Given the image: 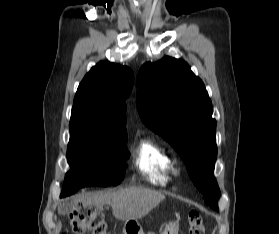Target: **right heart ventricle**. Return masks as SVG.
Returning a JSON list of instances; mask_svg holds the SVG:
<instances>
[{
	"mask_svg": "<svg viewBox=\"0 0 279 234\" xmlns=\"http://www.w3.org/2000/svg\"><path fill=\"white\" fill-rule=\"evenodd\" d=\"M133 164L151 184L165 186L172 179L174 161L167 150L152 139L144 138L138 143Z\"/></svg>",
	"mask_w": 279,
	"mask_h": 234,
	"instance_id": "e07e8e85",
	"label": "right heart ventricle"
}]
</instances>
